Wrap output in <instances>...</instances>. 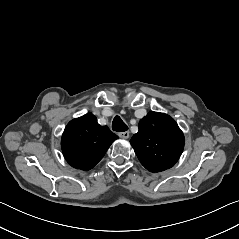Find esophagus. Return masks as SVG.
Wrapping results in <instances>:
<instances>
[{"label": "esophagus", "instance_id": "esophagus-1", "mask_svg": "<svg viewBox=\"0 0 239 239\" xmlns=\"http://www.w3.org/2000/svg\"><path fill=\"white\" fill-rule=\"evenodd\" d=\"M118 136L122 139H128L130 136V133H129V131L120 132V133H118Z\"/></svg>", "mask_w": 239, "mask_h": 239}]
</instances>
